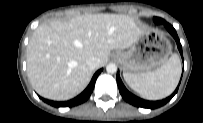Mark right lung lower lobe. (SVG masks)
<instances>
[{
    "mask_svg": "<svg viewBox=\"0 0 203 123\" xmlns=\"http://www.w3.org/2000/svg\"><path fill=\"white\" fill-rule=\"evenodd\" d=\"M102 69L98 70L90 84L88 85V87L80 94L78 95L77 97H75L74 99H71L69 101H64V102H56V101H51V100H47V99H42L44 102L54 106V107H73V106H77L83 102H85L91 95L92 91H93V88H94V85H95V81L98 77V75L101 73Z\"/></svg>",
    "mask_w": 203,
    "mask_h": 123,
    "instance_id": "1",
    "label": "right lung lower lobe"
}]
</instances>
